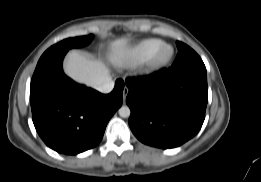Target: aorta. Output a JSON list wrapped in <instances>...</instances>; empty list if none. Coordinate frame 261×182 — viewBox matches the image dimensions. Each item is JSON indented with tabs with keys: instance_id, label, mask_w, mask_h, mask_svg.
<instances>
[{
	"instance_id": "aorta-1",
	"label": "aorta",
	"mask_w": 261,
	"mask_h": 182,
	"mask_svg": "<svg viewBox=\"0 0 261 182\" xmlns=\"http://www.w3.org/2000/svg\"><path fill=\"white\" fill-rule=\"evenodd\" d=\"M118 113L120 115V117L122 118H127L130 116L131 111L130 108L128 106H122L119 110Z\"/></svg>"
}]
</instances>
